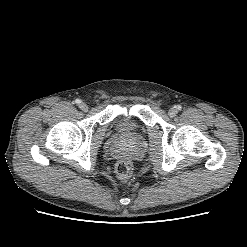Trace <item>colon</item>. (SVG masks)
Returning <instances> with one entry per match:
<instances>
[{"label":"colon","mask_w":247,"mask_h":247,"mask_svg":"<svg viewBox=\"0 0 247 247\" xmlns=\"http://www.w3.org/2000/svg\"><path fill=\"white\" fill-rule=\"evenodd\" d=\"M116 173L122 180H129L133 175V167L131 162L121 160L116 165Z\"/></svg>","instance_id":"1"}]
</instances>
